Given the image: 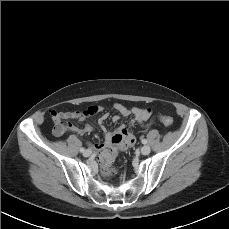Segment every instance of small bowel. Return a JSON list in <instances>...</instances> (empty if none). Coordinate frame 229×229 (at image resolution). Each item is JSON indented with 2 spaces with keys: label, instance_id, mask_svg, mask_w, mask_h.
<instances>
[{
  "label": "small bowel",
  "instance_id": "obj_1",
  "mask_svg": "<svg viewBox=\"0 0 229 229\" xmlns=\"http://www.w3.org/2000/svg\"><path fill=\"white\" fill-rule=\"evenodd\" d=\"M114 108L116 109V111L121 116L132 115L133 116V121H132L133 124L136 123V124H139V125H142V126L148 124V121H149V118H150V112H148L147 109H145V108H139V107L127 108L122 104H115ZM87 110L88 109H86L84 111L69 112V113H66L65 116L73 118V119L84 120L87 117L86 116ZM100 110L101 109L98 108V111H100ZM119 115L113 116L112 120L114 122L118 121L119 120ZM107 118H108V115L107 114H103L99 118L98 123L100 125H102ZM71 130L83 135V134H86V133H90L93 130V127L91 125H85L82 128H78V127L72 126ZM102 131H103L104 136H105V142H104L103 147L111 146L112 138L116 134H122L124 136V139L122 141V145H124V146H129L130 147V146L134 145V143H135L134 135L132 133H130L125 126L119 127L114 133L107 131L105 129V127H102Z\"/></svg>",
  "mask_w": 229,
  "mask_h": 229
}]
</instances>
